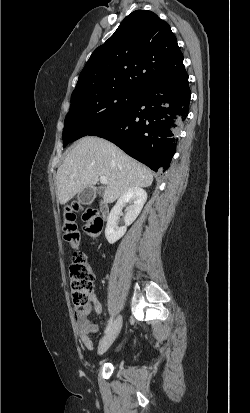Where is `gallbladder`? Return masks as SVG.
<instances>
[{
    "label": "gallbladder",
    "mask_w": 250,
    "mask_h": 413,
    "mask_svg": "<svg viewBox=\"0 0 250 413\" xmlns=\"http://www.w3.org/2000/svg\"><path fill=\"white\" fill-rule=\"evenodd\" d=\"M103 192V190H100V194ZM96 196V191L92 187H87L83 189L81 192L78 193L77 195V200L79 203L88 205L91 204L92 201L94 200Z\"/></svg>",
    "instance_id": "bac80fb5"
}]
</instances>
